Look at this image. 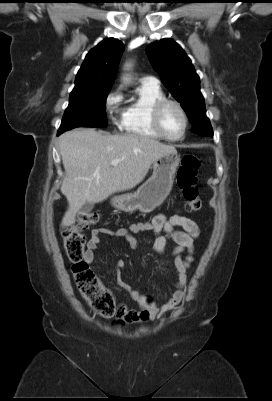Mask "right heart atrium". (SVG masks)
Listing matches in <instances>:
<instances>
[{
    "mask_svg": "<svg viewBox=\"0 0 272 401\" xmlns=\"http://www.w3.org/2000/svg\"><path fill=\"white\" fill-rule=\"evenodd\" d=\"M123 100V94L119 88L109 92L105 98V110L106 113L115 125H119L121 122V110L120 105Z\"/></svg>",
    "mask_w": 272,
    "mask_h": 401,
    "instance_id": "d8ad5b80",
    "label": "right heart atrium"
}]
</instances>
